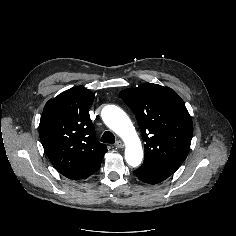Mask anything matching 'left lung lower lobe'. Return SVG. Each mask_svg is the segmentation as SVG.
Masks as SVG:
<instances>
[{
	"label": "left lung lower lobe",
	"instance_id": "left-lung-lower-lobe-1",
	"mask_svg": "<svg viewBox=\"0 0 236 236\" xmlns=\"http://www.w3.org/2000/svg\"><path fill=\"white\" fill-rule=\"evenodd\" d=\"M141 181L148 184H157L170 175L164 174L162 172L156 171L153 166L148 163H143L141 167L133 172Z\"/></svg>",
	"mask_w": 236,
	"mask_h": 236
}]
</instances>
